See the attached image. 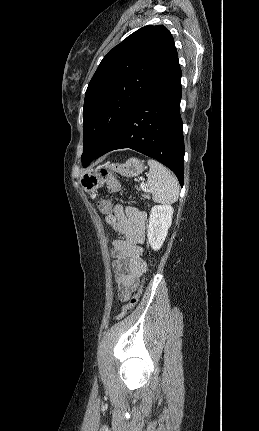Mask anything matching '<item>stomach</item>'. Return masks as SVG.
Returning a JSON list of instances; mask_svg holds the SVG:
<instances>
[{
  "instance_id": "1",
  "label": "stomach",
  "mask_w": 259,
  "mask_h": 431,
  "mask_svg": "<svg viewBox=\"0 0 259 431\" xmlns=\"http://www.w3.org/2000/svg\"><path fill=\"white\" fill-rule=\"evenodd\" d=\"M111 171L117 172L125 177L140 175L144 169V163L138 158H129L125 163H112L106 166ZM80 185L88 193L95 192L102 187L105 180L99 170H89L80 176Z\"/></svg>"
}]
</instances>
